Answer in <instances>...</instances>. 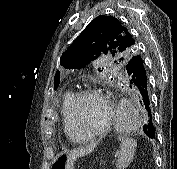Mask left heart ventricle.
Returning <instances> with one entry per match:
<instances>
[{
  "label": "left heart ventricle",
  "mask_w": 177,
  "mask_h": 169,
  "mask_svg": "<svg viewBox=\"0 0 177 169\" xmlns=\"http://www.w3.org/2000/svg\"><path fill=\"white\" fill-rule=\"evenodd\" d=\"M106 118L103 103L93 96L82 100L78 108V134L81 136L91 134L102 127Z\"/></svg>",
  "instance_id": "left-heart-ventricle-1"
}]
</instances>
